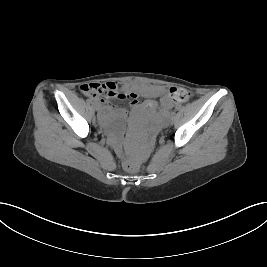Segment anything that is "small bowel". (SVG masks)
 I'll return each instance as SVG.
<instances>
[{"mask_svg":"<svg viewBox=\"0 0 267 267\" xmlns=\"http://www.w3.org/2000/svg\"><path fill=\"white\" fill-rule=\"evenodd\" d=\"M107 86L115 87L117 86L114 83H107ZM87 85L81 86V90H85ZM132 97L131 105L133 108H139L142 107L144 110H146L149 114H154L158 109V104L154 99L159 98L160 99V109L162 113H166L168 110L172 109L176 102L171 92L172 90H169L163 86L158 85H147V84H131L125 86ZM138 96H144L149 98L150 100L145 102L143 105H139V102L137 101ZM93 101L98 104L99 106L108 107L109 104L106 100L99 98V97H92ZM120 112H124L122 109H118Z\"/></svg>","mask_w":267,"mask_h":267,"instance_id":"small-bowel-1","label":"small bowel"}]
</instances>
